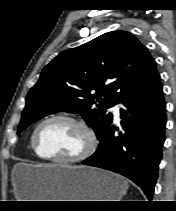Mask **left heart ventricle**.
Returning a JSON list of instances; mask_svg holds the SVG:
<instances>
[{"mask_svg": "<svg viewBox=\"0 0 176 211\" xmlns=\"http://www.w3.org/2000/svg\"><path fill=\"white\" fill-rule=\"evenodd\" d=\"M37 144L44 156L68 158L84 150L86 135L79 126L69 121L55 120L40 129Z\"/></svg>", "mask_w": 176, "mask_h": 211, "instance_id": "1", "label": "left heart ventricle"}]
</instances>
